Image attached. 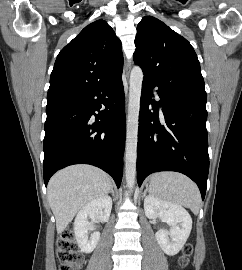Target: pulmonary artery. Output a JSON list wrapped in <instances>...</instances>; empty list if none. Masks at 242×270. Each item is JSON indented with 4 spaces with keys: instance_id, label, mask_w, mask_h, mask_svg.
<instances>
[{
    "instance_id": "e3ab8cb5",
    "label": "pulmonary artery",
    "mask_w": 242,
    "mask_h": 270,
    "mask_svg": "<svg viewBox=\"0 0 242 270\" xmlns=\"http://www.w3.org/2000/svg\"><path fill=\"white\" fill-rule=\"evenodd\" d=\"M155 97H156V100L157 101H159L160 99H159V96H158V94H157V92L155 91Z\"/></svg>"
}]
</instances>
